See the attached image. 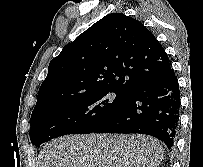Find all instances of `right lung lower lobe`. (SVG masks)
Masks as SVG:
<instances>
[{"label": "right lung lower lobe", "mask_w": 203, "mask_h": 167, "mask_svg": "<svg viewBox=\"0 0 203 167\" xmlns=\"http://www.w3.org/2000/svg\"><path fill=\"white\" fill-rule=\"evenodd\" d=\"M180 91L173 69L132 89L124 103L93 133H140L175 142L179 123Z\"/></svg>", "instance_id": "1"}]
</instances>
